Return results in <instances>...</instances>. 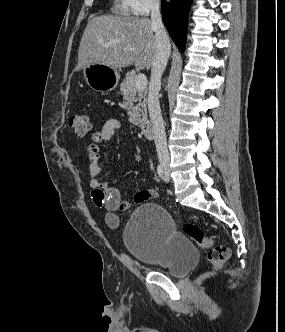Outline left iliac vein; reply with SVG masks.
<instances>
[{
    "label": "left iliac vein",
    "instance_id": "left-iliac-vein-1",
    "mask_svg": "<svg viewBox=\"0 0 285 332\" xmlns=\"http://www.w3.org/2000/svg\"><path fill=\"white\" fill-rule=\"evenodd\" d=\"M170 180L169 170L165 168V181L168 182Z\"/></svg>",
    "mask_w": 285,
    "mask_h": 332
}]
</instances>
